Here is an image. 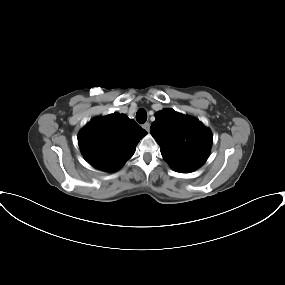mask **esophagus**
I'll use <instances>...</instances> for the list:
<instances>
[{
  "mask_svg": "<svg viewBox=\"0 0 285 285\" xmlns=\"http://www.w3.org/2000/svg\"><path fill=\"white\" fill-rule=\"evenodd\" d=\"M143 128H144L147 132H149V130H150V123H149V122H146L145 124H143Z\"/></svg>",
  "mask_w": 285,
  "mask_h": 285,
  "instance_id": "obj_1",
  "label": "esophagus"
}]
</instances>
